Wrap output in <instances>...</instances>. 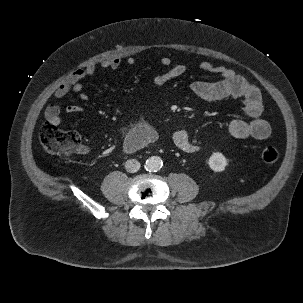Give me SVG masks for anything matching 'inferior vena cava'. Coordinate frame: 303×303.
<instances>
[{
    "label": "inferior vena cava",
    "instance_id": "obj_1",
    "mask_svg": "<svg viewBox=\"0 0 303 303\" xmlns=\"http://www.w3.org/2000/svg\"><path fill=\"white\" fill-rule=\"evenodd\" d=\"M140 163L136 159H129L125 163L126 171L129 173H135L140 169Z\"/></svg>",
    "mask_w": 303,
    "mask_h": 303
}]
</instances>
